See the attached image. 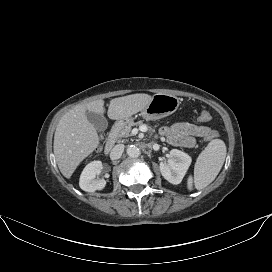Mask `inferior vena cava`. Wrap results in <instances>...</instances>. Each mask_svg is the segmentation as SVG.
Wrapping results in <instances>:
<instances>
[{"label":"inferior vena cava","instance_id":"602c4592","mask_svg":"<svg viewBox=\"0 0 272 272\" xmlns=\"http://www.w3.org/2000/svg\"><path fill=\"white\" fill-rule=\"evenodd\" d=\"M124 145L123 144H118L115 145L114 148L110 152V158L112 160H117L122 156V153L124 151Z\"/></svg>","mask_w":272,"mask_h":272}]
</instances>
